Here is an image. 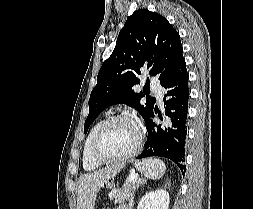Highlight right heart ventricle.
I'll return each mask as SVG.
<instances>
[{"label": "right heart ventricle", "mask_w": 253, "mask_h": 209, "mask_svg": "<svg viewBox=\"0 0 253 209\" xmlns=\"http://www.w3.org/2000/svg\"><path fill=\"white\" fill-rule=\"evenodd\" d=\"M103 122L102 119L98 120L90 129L85 141H84V146H83V157H82V162H83V167L85 170H94L100 166V163L96 162L91 154V148H92V142L94 139V136Z\"/></svg>", "instance_id": "1"}]
</instances>
